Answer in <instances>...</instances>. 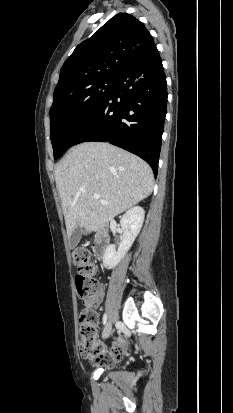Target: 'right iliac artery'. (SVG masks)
I'll list each match as a JSON object with an SVG mask.
<instances>
[{
  "label": "right iliac artery",
  "mask_w": 233,
  "mask_h": 413,
  "mask_svg": "<svg viewBox=\"0 0 233 413\" xmlns=\"http://www.w3.org/2000/svg\"><path fill=\"white\" fill-rule=\"evenodd\" d=\"M106 322H107V315H106V314H104V316H103V324L105 325V324H106Z\"/></svg>",
  "instance_id": "right-iliac-artery-1"
}]
</instances>
